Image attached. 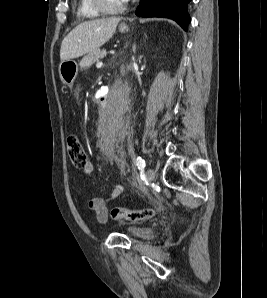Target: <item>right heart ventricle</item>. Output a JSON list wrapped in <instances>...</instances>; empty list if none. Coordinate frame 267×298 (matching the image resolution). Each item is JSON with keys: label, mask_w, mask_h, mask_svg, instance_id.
I'll return each instance as SVG.
<instances>
[{"label": "right heart ventricle", "mask_w": 267, "mask_h": 298, "mask_svg": "<svg viewBox=\"0 0 267 298\" xmlns=\"http://www.w3.org/2000/svg\"><path fill=\"white\" fill-rule=\"evenodd\" d=\"M77 15L82 19H97L101 13L95 8L92 0H79L77 6Z\"/></svg>", "instance_id": "right-heart-ventricle-1"}]
</instances>
